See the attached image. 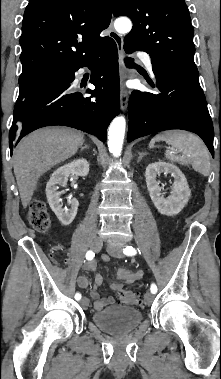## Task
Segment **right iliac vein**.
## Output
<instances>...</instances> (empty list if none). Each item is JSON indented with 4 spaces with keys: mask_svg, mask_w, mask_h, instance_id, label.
<instances>
[{
    "mask_svg": "<svg viewBox=\"0 0 221 379\" xmlns=\"http://www.w3.org/2000/svg\"><path fill=\"white\" fill-rule=\"evenodd\" d=\"M102 245H103V242L100 238H95L92 242V245H91V248L95 251V252H99L102 248ZM88 300L86 298H82L81 301H80V304L82 307L86 308L88 306Z\"/></svg>",
    "mask_w": 221,
    "mask_h": 379,
    "instance_id": "obj_1",
    "label": "right iliac vein"
}]
</instances>
